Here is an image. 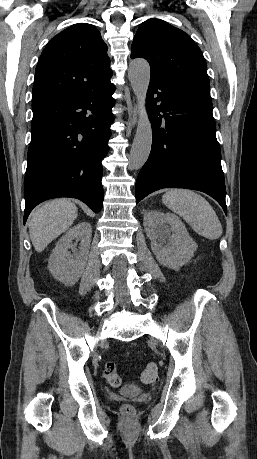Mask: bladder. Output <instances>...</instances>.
Returning a JSON list of instances; mask_svg holds the SVG:
<instances>
[{
    "mask_svg": "<svg viewBox=\"0 0 257 459\" xmlns=\"http://www.w3.org/2000/svg\"><path fill=\"white\" fill-rule=\"evenodd\" d=\"M123 392L126 394L134 395L138 394L140 392V389L136 386H128L123 390Z\"/></svg>",
    "mask_w": 257,
    "mask_h": 459,
    "instance_id": "bladder-1",
    "label": "bladder"
}]
</instances>
